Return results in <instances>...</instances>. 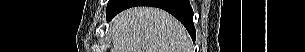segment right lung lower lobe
I'll list each match as a JSON object with an SVG mask.
<instances>
[{
	"label": "right lung lower lobe",
	"mask_w": 305,
	"mask_h": 52,
	"mask_svg": "<svg viewBox=\"0 0 305 52\" xmlns=\"http://www.w3.org/2000/svg\"><path fill=\"white\" fill-rule=\"evenodd\" d=\"M133 6H153L166 10L186 27L195 41L193 11L188 0H109L107 20H111L120 11Z\"/></svg>",
	"instance_id": "right-lung-lower-lobe-1"
}]
</instances>
